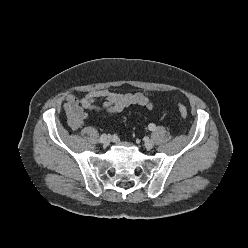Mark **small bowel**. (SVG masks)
Returning a JSON list of instances; mask_svg holds the SVG:
<instances>
[{
  "instance_id": "obj_1",
  "label": "small bowel",
  "mask_w": 248,
  "mask_h": 248,
  "mask_svg": "<svg viewBox=\"0 0 248 248\" xmlns=\"http://www.w3.org/2000/svg\"><path fill=\"white\" fill-rule=\"evenodd\" d=\"M152 97L153 94L147 91L117 93L107 89L92 90L80 98L72 94L67 95L64 109L68 117V125L75 131L85 123L91 113H97L102 118L109 119L132 105L152 109L154 106ZM98 100L104 103L101 106L95 105Z\"/></svg>"
}]
</instances>
